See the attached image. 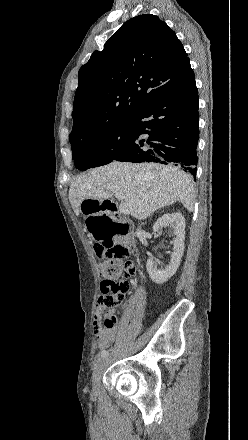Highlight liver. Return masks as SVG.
Instances as JSON below:
<instances>
[{"label":"liver","mask_w":248,"mask_h":440,"mask_svg":"<svg viewBox=\"0 0 248 440\" xmlns=\"http://www.w3.org/2000/svg\"><path fill=\"white\" fill-rule=\"evenodd\" d=\"M108 186L117 187L133 217L144 220L156 210L179 201L193 211L195 194L191 177L179 168L158 163H121L90 170L75 180L69 201L76 215L86 199L103 202L112 196Z\"/></svg>","instance_id":"1"}]
</instances>
